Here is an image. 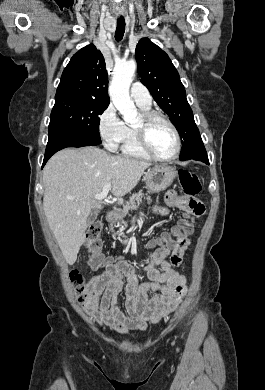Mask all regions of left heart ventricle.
Masks as SVG:
<instances>
[{"instance_id": "obj_1", "label": "left heart ventricle", "mask_w": 265, "mask_h": 390, "mask_svg": "<svg viewBox=\"0 0 265 390\" xmlns=\"http://www.w3.org/2000/svg\"><path fill=\"white\" fill-rule=\"evenodd\" d=\"M141 118L137 122L138 125ZM148 141L151 148L161 157H169L173 154L176 141L170 127L162 121L153 122L148 128Z\"/></svg>"}]
</instances>
